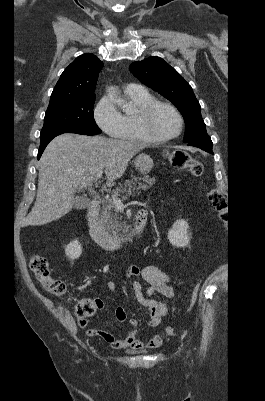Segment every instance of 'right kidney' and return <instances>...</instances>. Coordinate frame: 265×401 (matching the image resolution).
<instances>
[{
    "mask_svg": "<svg viewBox=\"0 0 265 401\" xmlns=\"http://www.w3.org/2000/svg\"><path fill=\"white\" fill-rule=\"evenodd\" d=\"M82 253V247L78 241H72L69 243L65 249V255L70 259V261H75V259H79Z\"/></svg>",
    "mask_w": 265,
    "mask_h": 401,
    "instance_id": "obj_1",
    "label": "right kidney"
}]
</instances>
